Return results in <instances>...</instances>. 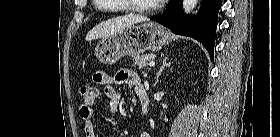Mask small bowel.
<instances>
[{
	"label": "small bowel",
	"mask_w": 280,
	"mask_h": 137,
	"mask_svg": "<svg viewBox=\"0 0 280 137\" xmlns=\"http://www.w3.org/2000/svg\"><path fill=\"white\" fill-rule=\"evenodd\" d=\"M94 81L104 88V95L108 101L110 111L118 112L121 103V92L113 87V84L119 86H128L137 94H139L143 87L137 74L129 69H120L113 76L100 71L94 74ZM81 118L84 120V130L86 137H98L95 124L94 112L86 105H82L79 110ZM139 137H150L146 131L142 132Z\"/></svg>",
	"instance_id": "obj_1"
}]
</instances>
